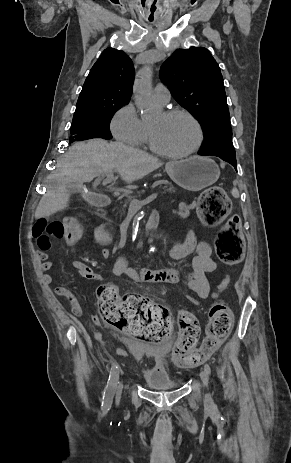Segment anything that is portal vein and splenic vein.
Returning <instances> with one entry per match:
<instances>
[{
    "instance_id": "obj_1",
    "label": "portal vein and splenic vein",
    "mask_w": 291,
    "mask_h": 463,
    "mask_svg": "<svg viewBox=\"0 0 291 463\" xmlns=\"http://www.w3.org/2000/svg\"><path fill=\"white\" fill-rule=\"evenodd\" d=\"M113 175L111 173H107V179H111ZM103 184H106V181L103 182ZM119 193V191H117ZM158 196V193H154L150 196V199H154ZM144 204V201H140L138 199H131L130 201V206L133 208L135 211L139 210L142 205Z\"/></svg>"
}]
</instances>
